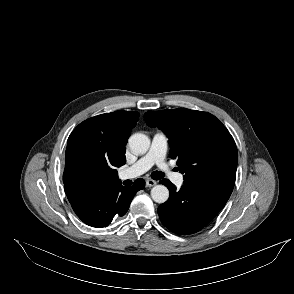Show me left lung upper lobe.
<instances>
[{
  "instance_id": "1",
  "label": "left lung upper lobe",
  "mask_w": 294,
  "mask_h": 294,
  "mask_svg": "<svg viewBox=\"0 0 294 294\" xmlns=\"http://www.w3.org/2000/svg\"><path fill=\"white\" fill-rule=\"evenodd\" d=\"M145 121L169 138L170 157L177 159L184 184L206 180L235 183L236 144L218 118L207 112L178 108L147 111Z\"/></svg>"
}]
</instances>
